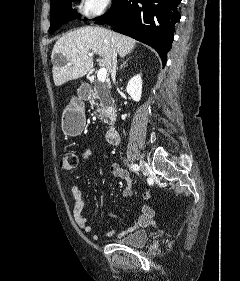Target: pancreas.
I'll return each mask as SVG.
<instances>
[{
  "mask_svg": "<svg viewBox=\"0 0 240 281\" xmlns=\"http://www.w3.org/2000/svg\"><path fill=\"white\" fill-rule=\"evenodd\" d=\"M91 96V105L97 107V112L99 113L101 120L107 123L108 117L115 110L114 101L110 96L109 90L104 88L100 91L97 86L94 85V92H92ZM96 99H98L99 102H95Z\"/></svg>",
  "mask_w": 240,
  "mask_h": 281,
  "instance_id": "1",
  "label": "pancreas"
}]
</instances>
